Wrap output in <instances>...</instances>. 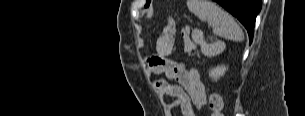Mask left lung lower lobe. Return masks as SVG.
Returning a JSON list of instances; mask_svg holds the SVG:
<instances>
[{
  "label": "left lung lower lobe",
  "mask_w": 305,
  "mask_h": 116,
  "mask_svg": "<svg viewBox=\"0 0 305 116\" xmlns=\"http://www.w3.org/2000/svg\"><path fill=\"white\" fill-rule=\"evenodd\" d=\"M235 16L247 29L250 43L253 40L255 19L261 10L260 0H214Z\"/></svg>",
  "instance_id": "1"
}]
</instances>
